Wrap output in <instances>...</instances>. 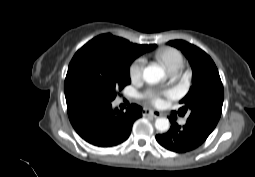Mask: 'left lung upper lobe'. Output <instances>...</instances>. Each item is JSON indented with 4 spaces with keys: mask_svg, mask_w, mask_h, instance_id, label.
Segmentation results:
<instances>
[{
    "mask_svg": "<svg viewBox=\"0 0 255 177\" xmlns=\"http://www.w3.org/2000/svg\"><path fill=\"white\" fill-rule=\"evenodd\" d=\"M187 57L192 71V86L180 101L178 114L189 115L187 121L214 130L222 112L224 89L217 67L200 48L183 40L169 41ZM176 113V111L174 112Z\"/></svg>",
    "mask_w": 255,
    "mask_h": 177,
    "instance_id": "obj_1",
    "label": "left lung upper lobe"
}]
</instances>
